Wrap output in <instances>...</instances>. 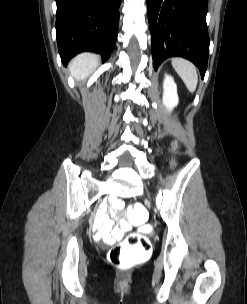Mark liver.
I'll return each mask as SVG.
<instances>
[{
  "label": "liver",
  "mask_w": 247,
  "mask_h": 304,
  "mask_svg": "<svg viewBox=\"0 0 247 304\" xmlns=\"http://www.w3.org/2000/svg\"><path fill=\"white\" fill-rule=\"evenodd\" d=\"M99 65V57L92 53H82L75 57L69 65V70L76 80H84L90 76Z\"/></svg>",
  "instance_id": "1"
}]
</instances>
